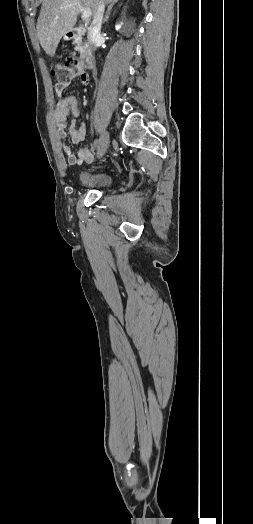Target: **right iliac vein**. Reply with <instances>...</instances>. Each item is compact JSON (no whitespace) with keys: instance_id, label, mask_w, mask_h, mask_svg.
Returning a JSON list of instances; mask_svg holds the SVG:
<instances>
[{"instance_id":"63e3f726","label":"right iliac vein","mask_w":253,"mask_h":524,"mask_svg":"<svg viewBox=\"0 0 253 524\" xmlns=\"http://www.w3.org/2000/svg\"><path fill=\"white\" fill-rule=\"evenodd\" d=\"M110 142V136L107 131H103L99 140L98 149H97V156L98 158H101L107 151L109 147Z\"/></svg>"}]
</instances>
